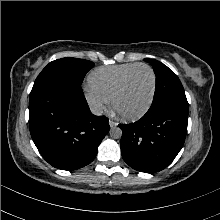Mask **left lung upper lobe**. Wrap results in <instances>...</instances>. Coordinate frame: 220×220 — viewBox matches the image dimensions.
Returning a JSON list of instances; mask_svg holds the SVG:
<instances>
[{"label":"left lung upper lobe","mask_w":220,"mask_h":220,"mask_svg":"<svg viewBox=\"0 0 220 220\" xmlns=\"http://www.w3.org/2000/svg\"><path fill=\"white\" fill-rule=\"evenodd\" d=\"M144 60L152 64L156 75L155 94L149 110L160 107H172L188 113L186 95L177 75L157 60Z\"/></svg>","instance_id":"obj_1"}]
</instances>
